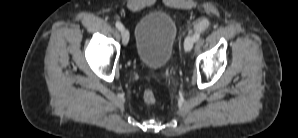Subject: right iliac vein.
Instances as JSON below:
<instances>
[{"instance_id": "obj_1", "label": "right iliac vein", "mask_w": 298, "mask_h": 138, "mask_svg": "<svg viewBox=\"0 0 298 138\" xmlns=\"http://www.w3.org/2000/svg\"><path fill=\"white\" fill-rule=\"evenodd\" d=\"M121 35H122L123 41L127 42L128 39H129V32L126 29L123 28L121 30Z\"/></svg>"}]
</instances>
